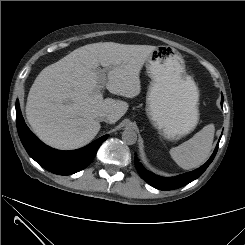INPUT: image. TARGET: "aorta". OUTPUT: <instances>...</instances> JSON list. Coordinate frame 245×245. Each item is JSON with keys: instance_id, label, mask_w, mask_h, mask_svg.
Listing matches in <instances>:
<instances>
[{"instance_id": "762f6f07", "label": "aorta", "mask_w": 245, "mask_h": 245, "mask_svg": "<svg viewBox=\"0 0 245 245\" xmlns=\"http://www.w3.org/2000/svg\"><path fill=\"white\" fill-rule=\"evenodd\" d=\"M122 140L127 145H133L137 141V133L130 128H127L122 133Z\"/></svg>"}]
</instances>
